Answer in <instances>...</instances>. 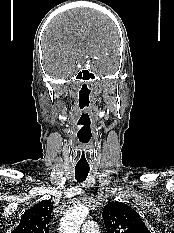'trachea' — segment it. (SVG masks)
I'll list each match as a JSON object with an SVG mask.
<instances>
[{"label": "trachea", "mask_w": 174, "mask_h": 233, "mask_svg": "<svg viewBox=\"0 0 174 233\" xmlns=\"http://www.w3.org/2000/svg\"><path fill=\"white\" fill-rule=\"evenodd\" d=\"M89 173V167H75V178L78 182L86 180Z\"/></svg>", "instance_id": "3493384b"}]
</instances>
